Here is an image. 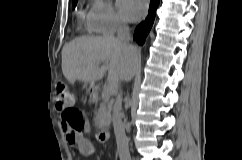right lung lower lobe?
<instances>
[{
    "label": "right lung lower lobe",
    "instance_id": "obj_1",
    "mask_svg": "<svg viewBox=\"0 0 242 160\" xmlns=\"http://www.w3.org/2000/svg\"><path fill=\"white\" fill-rule=\"evenodd\" d=\"M160 0H151L149 13L145 21H143L141 24H139L136 27L135 33H134V39L137 43L143 44L145 41L146 36L148 35L154 19L156 15V10L159 6Z\"/></svg>",
    "mask_w": 242,
    "mask_h": 160
}]
</instances>
